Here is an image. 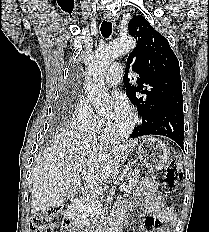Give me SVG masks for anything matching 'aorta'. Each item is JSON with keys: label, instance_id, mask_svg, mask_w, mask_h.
<instances>
[{"label": "aorta", "instance_id": "aorta-1", "mask_svg": "<svg viewBox=\"0 0 209 232\" xmlns=\"http://www.w3.org/2000/svg\"><path fill=\"white\" fill-rule=\"evenodd\" d=\"M135 46V40L129 36L117 38L99 50L89 63L85 75V90L95 110L103 111L109 107L110 97L104 85L109 65L120 55L131 52ZM96 232L102 230L98 229Z\"/></svg>", "mask_w": 209, "mask_h": 232}]
</instances>
